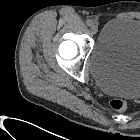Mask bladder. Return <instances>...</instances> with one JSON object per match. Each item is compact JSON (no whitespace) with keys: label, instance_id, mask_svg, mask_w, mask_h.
<instances>
[{"label":"bladder","instance_id":"obj_1","mask_svg":"<svg viewBox=\"0 0 140 140\" xmlns=\"http://www.w3.org/2000/svg\"><path fill=\"white\" fill-rule=\"evenodd\" d=\"M89 63L103 91L140 97V19L117 17L108 21L96 39Z\"/></svg>","mask_w":140,"mask_h":140}]
</instances>
